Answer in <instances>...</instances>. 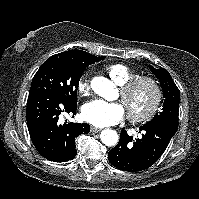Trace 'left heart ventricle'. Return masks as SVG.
Segmentation results:
<instances>
[{
  "label": "left heart ventricle",
  "instance_id": "left-heart-ventricle-1",
  "mask_svg": "<svg viewBox=\"0 0 199 199\" xmlns=\"http://www.w3.org/2000/svg\"><path fill=\"white\" fill-rule=\"evenodd\" d=\"M151 97V89L147 85H141L127 97L124 105L134 113H141L148 107Z\"/></svg>",
  "mask_w": 199,
  "mask_h": 199
}]
</instances>
